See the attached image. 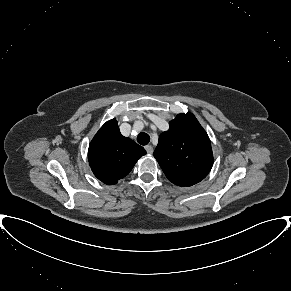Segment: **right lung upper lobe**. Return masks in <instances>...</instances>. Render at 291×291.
Returning <instances> with one entry per match:
<instances>
[{"instance_id":"1","label":"right lung upper lobe","mask_w":291,"mask_h":291,"mask_svg":"<svg viewBox=\"0 0 291 291\" xmlns=\"http://www.w3.org/2000/svg\"><path fill=\"white\" fill-rule=\"evenodd\" d=\"M145 154L143 147L122 136L116 119L107 121L100 128L88 149L89 164L94 175L107 185L116 184L127 176Z\"/></svg>"}]
</instances>
